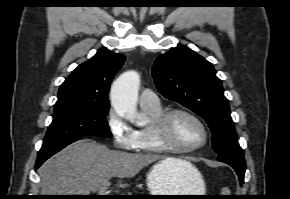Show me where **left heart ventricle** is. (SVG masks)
Segmentation results:
<instances>
[{
    "label": "left heart ventricle",
    "instance_id": "obj_1",
    "mask_svg": "<svg viewBox=\"0 0 290 199\" xmlns=\"http://www.w3.org/2000/svg\"><path fill=\"white\" fill-rule=\"evenodd\" d=\"M167 138L180 147H193L203 140L200 125L186 115L174 116L168 125Z\"/></svg>",
    "mask_w": 290,
    "mask_h": 199
}]
</instances>
